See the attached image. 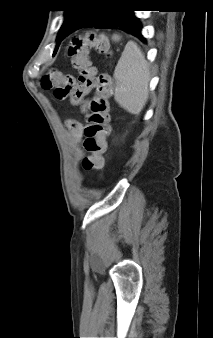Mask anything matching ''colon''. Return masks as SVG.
Here are the masks:
<instances>
[{
	"label": "colon",
	"instance_id": "colon-1",
	"mask_svg": "<svg viewBox=\"0 0 213 338\" xmlns=\"http://www.w3.org/2000/svg\"><path fill=\"white\" fill-rule=\"evenodd\" d=\"M93 49L109 56L111 46L108 37L95 33L73 37L67 53L71 58L72 67L78 72V79L53 69L43 77L41 86L45 90H54L56 99L69 97L74 106L80 105L83 96L93 91L90 112L83 129L84 147L88 155L83 159L82 166L87 171H101L105 167L104 155L111 133L109 98L112 95V87L109 75H97L96 68L91 63L90 52ZM67 125L74 128L77 123L70 121Z\"/></svg>",
	"mask_w": 213,
	"mask_h": 338
}]
</instances>
